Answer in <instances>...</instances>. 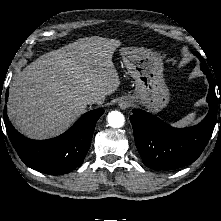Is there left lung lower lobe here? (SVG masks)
I'll list each match as a JSON object with an SVG mask.
<instances>
[{"instance_id":"1","label":"left lung lower lobe","mask_w":221,"mask_h":221,"mask_svg":"<svg viewBox=\"0 0 221 221\" xmlns=\"http://www.w3.org/2000/svg\"><path fill=\"white\" fill-rule=\"evenodd\" d=\"M196 56L210 83L207 96L210 109L202 122L190 128L177 129L143 110L134 109L130 116L136 147L143 163L151 169L172 170L191 164L200 156L212 135L217 119L213 77L204 59L198 53Z\"/></svg>"}]
</instances>
